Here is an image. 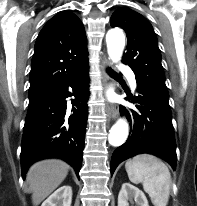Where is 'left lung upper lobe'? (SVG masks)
Instances as JSON below:
<instances>
[{
  "label": "left lung upper lobe",
  "mask_w": 197,
  "mask_h": 206,
  "mask_svg": "<svg viewBox=\"0 0 197 206\" xmlns=\"http://www.w3.org/2000/svg\"><path fill=\"white\" fill-rule=\"evenodd\" d=\"M110 24L126 32L128 45L123 63L133 70L137 83L169 98L157 37L149 21L138 12L123 7L113 13Z\"/></svg>",
  "instance_id": "left-lung-upper-lobe-1"
}]
</instances>
